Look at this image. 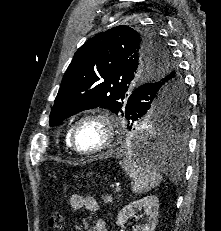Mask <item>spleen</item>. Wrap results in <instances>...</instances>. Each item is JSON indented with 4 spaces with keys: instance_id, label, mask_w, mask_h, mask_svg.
Returning a JSON list of instances; mask_svg holds the SVG:
<instances>
[{
    "instance_id": "3e777b00",
    "label": "spleen",
    "mask_w": 221,
    "mask_h": 231,
    "mask_svg": "<svg viewBox=\"0 0 221 231\" xmlns=\"http://www.w3.org/2000/svg\"><path fill=\"white\" fill-rule=\"evenodd\" d=\"M119 164L134 181L132 191L136 194L150 191L162 180V176L157 172L152 161L148 163L128 155Z\"/></svg>"
}]
</instances>
